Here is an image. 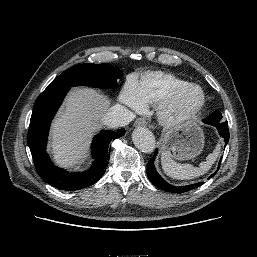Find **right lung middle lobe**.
<instances>
[{
  "instance_id": "dd1d6c3e",
  "label": "right lung middle lobe",
  "mask_w": 257,
  "mask_h": 257,
  "mask_svg": "<svg viewBox=\"0 0 257 257\" xmlns=\"http://www.w3.org/2000/svg\"><path fill=\"white\" fill-rule=\"evenodd\" d=\"M122 72L107 64H81L71 67L54 79L45 89L54 90L64 87L89 86L114 88Z\"/></svg>"
}]
</instances>
